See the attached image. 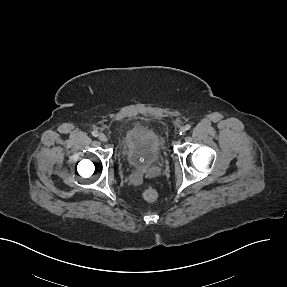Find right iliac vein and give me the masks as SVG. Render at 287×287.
<instances>
[{"mask_svg": "<svg viewBox=\"0 0 287 287\" xmlns=\"http://www.w3.org/2000/svg\"><path fill=\"white\" fill-rule=\"evenodd\" d=\"M98 138L101 142H106L108 140L107 136L103 133L99 134Z\"/></svg>", "mask_w": 287, "mask_h": 287, "instance_id": "right-iliac-vein-1", "label": "right iliac vein"}]
</instances>
